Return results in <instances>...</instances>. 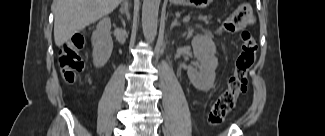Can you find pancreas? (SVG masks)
<instances>
[{"instance_id":"cf45deb5","label":"pancreas","mask_w":325,"mask_h":136,"mask_svg":"<svg viewBox=\"0 0 325 136\" xmlns=\"http://www.w3.org/2000/svg\"><path fill=\"white\" fill-rule=\"evenodd\" d=\"M195 17L197 19V22L200 24H207L209 22L208 12H196Z\"/></svg>"}]
</instances>
